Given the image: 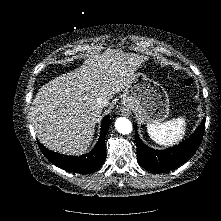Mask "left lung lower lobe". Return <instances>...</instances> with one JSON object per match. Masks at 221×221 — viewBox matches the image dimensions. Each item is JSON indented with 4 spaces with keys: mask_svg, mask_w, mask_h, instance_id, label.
I'll return each mask as SVG.
<instances>
[{
    "mask_svg": "<svg viewBox=\"0 0 221 221\" xmlns=\"http://www.w3.org/2000/svg\"><path fill=\"white\" fill-rule=\"evenodd\" d=\"M205 118L195 133L184 142L165 150H155L145 145L136 131L138 163L148 171L164 172L185 163L198 149L204 134Z\"/></svg>",
    "mask_w": 221,
    "mask_h": 221,
    "instance_id": "obj_1",
    "label": "left lung lower lobe"
}]
</instances>
